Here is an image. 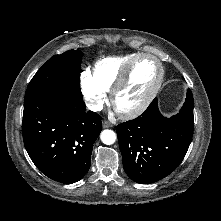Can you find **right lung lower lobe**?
I'll list each match as a JSON object with an SVG mask.
<instances>
[{
  "label": "right lung lower lobe",
  "mask_w": 221,
  "mask_h": 221,
  "mask_svg": "<svg viewBox=\"0 0 221 221\" xmlns=\"http://www.w3.org/2000/svg\"><path fill=\"white\" fill-rule=\"evenodd\" d=\"M22 127L35 166L50 179L70 184L88 172L102 123L97 113L86 111L82 98L54 90L24 103Z\"/></svg>",
  "instance_id": "obj_1"
}]
</instances>
